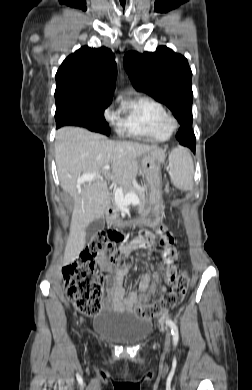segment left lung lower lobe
Wrapping results in <instances>:
<instances>
[{
	"label": "left lung lower lobe",
	"instance_id": "left-lung-lower-lobe-1",
	"mask_svg": "<svg viewBox=\"0 0 252 390\" xmlns=\"http://www.w3.org/2000/svg\"><path fill=\"white\" fill-rule=\"evenodd\" d=\"M176 138L181 145L189 147L195 153L196 140L192 131V124H182Z\"/></svg>",
	"mask_w": 252,
	"mask_h": 390
}]
</instances>
